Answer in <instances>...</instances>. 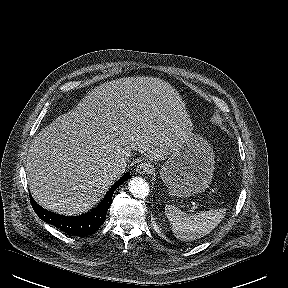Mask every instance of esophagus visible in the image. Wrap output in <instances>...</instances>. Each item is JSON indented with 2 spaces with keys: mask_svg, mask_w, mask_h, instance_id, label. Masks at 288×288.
I'll return each instance as SVG.
<instances>
[{
  "mask_svg": "<svg viewBox=\"0 0 288 288\" xmlns=\"http://www.w3.org/2000/svg\"><path fill=\"white\" fill-rule=\"evenodd\" d=\"M153 171V167L150 163L142 162L137 166L136 172L139 174H150Z\"/></svg>",
  "mask_w": 288,
  "mask_h": 288,
  "instance_id": "obj_1",
  "label": "esophagus"
}]
</instances>
